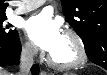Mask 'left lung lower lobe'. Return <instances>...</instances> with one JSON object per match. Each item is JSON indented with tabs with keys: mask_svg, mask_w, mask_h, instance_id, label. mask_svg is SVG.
I'll return each mask as SVG.
<instances>
[{
	"mask_svg": "<svg viewBox=\"0 0 107 75\" xmlns=\"http://www.w3.org/2000/svg\"><path fill=\"white\" fill-rule=\"evenodd\" d=\"M88 58L95 64L105 68L107 70V45L102 43L100 47H97Z\"/></svg>",
	"mask_w": 107,
	"mask_h": 75,
	"instance_id": "1",
	"label": "left lung lower lobe"
}]
</instances>
